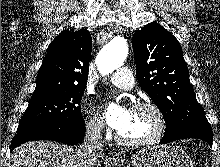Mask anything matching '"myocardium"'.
Returning a JSON list of instances; mask_svg holds the SVG:
<instances>
[{
	"mask_svg": "<svg viewBox=\"0 0 220 167\" xmlns=\"http://www.w3.org/2000/svg\"><path fill=\"white\" fill-rule=\"evenodd\" d=\"M133 109L150 111L156 118L157 126L155 131L151 136L142 140H128L122 137L118 132L116 135V141L123 146L131 148L146 147L159 142L166 131V119L162 110L157 105L150 102L136 103Z\"/></svg>",
	"mask_w": 220,
	"mask_h": 167,
	"instance_id": "1",
	"label": "myocardium"
}]
</instances>
